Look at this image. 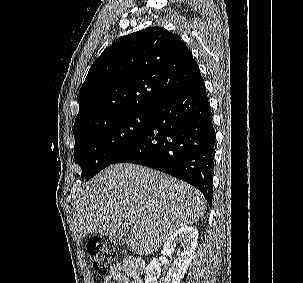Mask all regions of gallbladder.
I'll return each mask as SVG.
<instances>
[{
    "instance_id": "obj_1",
    "label": "gallbladder",
    "mask_w": 303,
    "mask_h": 283,
    "mask_svg": "<svg viewBox=\"0 0 303 283\" xmlns=\"http://www.w3.org/2000/svg\"><path fill=\"white\" fill-rule=\"evenodd\" d=\"M125 235V229L120 227L115 234L110 236V240L114 244H121L123 241V236Z\"/></svg>"
}]
</instances>
